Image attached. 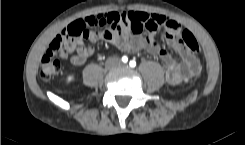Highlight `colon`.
<instances>
[{"label":"colon","instance_id":"obj_1","mask_svg":"<svg viewBox=\"0 0 245 145\" xmlns=\"http://www.w3.org/2000/svg\"><path fill=\"white\" fill-rule=\"evenodd\" d=\"M97 16V18L101 17ZM76 19L70 22L53 41L41 61L40 75L44 80L55 78L61 70L60 58H66L76 50L80 41L86 39L90 31L96 26V16L87 17L85 20ZM166 22L167 29L178 32L181 41L193 52L198 50V43L188 30L182 29L179 24L162 16H154L148 23L132 20L121 21L113 28H125L127 32L141 34L146 29L156 30Z\"/></svg>","mask_w":245,"mask_h":145}]
</instances>
